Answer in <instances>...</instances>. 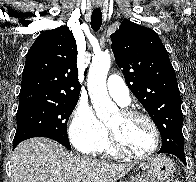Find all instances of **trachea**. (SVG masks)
Wrapping results in <instances>:
<instances>
[{
    "label": "trachea",
    "instance_id": "trachea-1",
    "mask_svg": "<svg viewBox=\"0 0 196 182\" xmlns=\"http://www.w3.org/2000/svg\"><path fill=\"white\" fill-rule=\"evenodd\" d=\"M102 24V12L100 8H96L92 12L91 16V28L94 31H98Z\"/></svg>",
    "mask_w": 196,
    "mask_h": 182
}]
</instances>
